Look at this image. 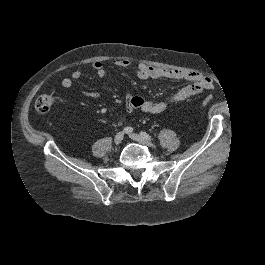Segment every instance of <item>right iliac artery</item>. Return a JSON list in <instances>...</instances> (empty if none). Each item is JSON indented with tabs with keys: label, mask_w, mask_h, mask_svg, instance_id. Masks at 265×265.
<instances>
[{
	"label": "right iliac artery",
	"mask_w": 265,
	"mask_h": 265,
	"mask_svg": "<svg viewBox=\"0 0 265 265\" xmlns=\"http://www.w3.org/2000/svg\"><path fill=\"white\" fill-rule=\"evenodd\" d=\"M123 132L126 134H130L133 132V128L132 127H125V128H123Z\"/></svg>",
	"instance_id": "82829eb1"
}]
</instances>
